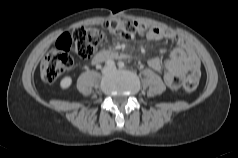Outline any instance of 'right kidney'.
Listing matches in <instances>:
<instances>
[{"mask_svg": "<svg viewBox=\"0 0 238 158\" xmlns=\"http://www.w3.org/2000/svg\"><path fill=\"white\" fill-rule=\"evenodd\" d=\"M72 84V78L70 76L64 77L60 82V87L62 89H68Z\"/></svg>", "mask_w": 238, "mask_h": 158, "instance_id": "1", "label": "right kidney"}]
</instances>
